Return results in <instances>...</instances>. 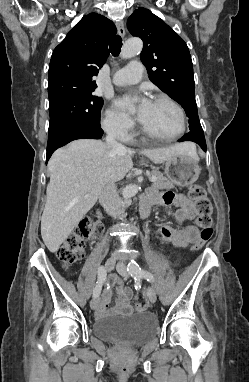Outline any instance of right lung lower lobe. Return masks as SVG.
<instances>
[{
  "label": "right lung lower lobe",
  "instance_id": "1",
  "mask_svg": "<svg viewBox=\"0 0 249 382\" xmlns=\"http://www.w3.org/2000/svg\"><path fill=\"white\" fill-rule=\"evenodd\" d=\"M102 135L103 130L100 128V124H76L52 132L48 134L46 163L56 149L73 140L84 138L99 139Z\"/></svg>",
  "mask_w": 249,
  "mask_h": 382
}]
</instances>
